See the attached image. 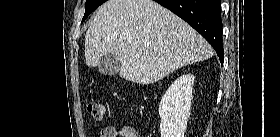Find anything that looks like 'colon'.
<instances>
[{
	"label": "colon",
	"mask_w": 280,
	"mask_h": 137,
	"mask_svg": "<svg viewBox=\"0 0 280 137\" xmlns=\"http://www.w3.org/2000/svg\"><path fill=\"white\" fill-rule=\"evenodd\" d=\"M88 113L97 121L103 120L106 112V107L102 102L94 101L87 105Z\"/></svg>",
	"instance_id": "colon-1"
}]
</instances>
